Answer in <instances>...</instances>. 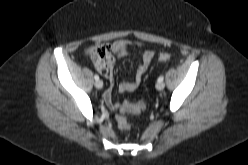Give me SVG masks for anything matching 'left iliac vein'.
I'll return each mask as SVG.
<instances>
[{
    "label": "left iliac vein",
    "mask_w": 248,
    "mask_h": 165,
    "mask_svg": "<svg viewBox=\"0 0 248 165\" xmlns=\"http://www.w3.org/2000/svg\"><path fill=\"white\" fill-rule=\"evenodd\" d=\"M164 87H165V83L163 81L157 82V84H156L157 90L161 91L164 89Z\"/></svg>",
    "instance_id": "left-iliac-vein-1"
}]
</instances>
